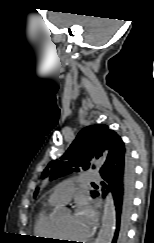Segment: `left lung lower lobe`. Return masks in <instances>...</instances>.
Instances as JSON below:
<instances>
[{
  "label": "left lung lower lobe",
  "mask_w": 154,
  "mask_h": 243,
  "mask_svg": "<svg viewBox=\"0 0 154 243\" xmlns=\"http://www.w3.org/2000/svg\"><path fill=\"white\" fill-rule=\"evenodd\" d=\"M100 173L108 183L106 185L102 182L107 188L103 191V196L111 191L114 203L115 226L112 243H126L134 194V167L128 151L125 155L119 152L117 156H108ZM98 195L96 191L93 197Z\"/></svg>",
  "instance_id": "1"
}]
</instances>
